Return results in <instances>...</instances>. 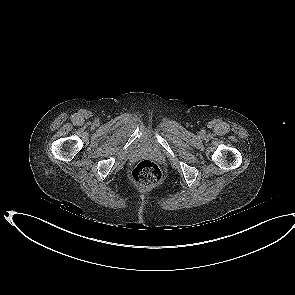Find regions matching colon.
Returning a JSON list of instances; mask_svg holds the SVG:
<instances>
[{"label":"colon","mask_w":295,"mask_h":295,"mask_svg":"<svg viewBox=\"0 0 295 295\" xmlns=\"http://www.w3.org/2000/svg\"><path fill=\"white\" fill-rule=\"evenodd\" d=\"M161 176L160 168L151 160L140 161L132 172L134 182L142 188L156 185Z\"/></svg>","instance_id":"1"}]
</instances>
